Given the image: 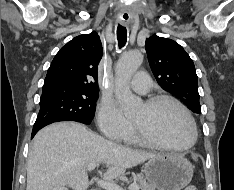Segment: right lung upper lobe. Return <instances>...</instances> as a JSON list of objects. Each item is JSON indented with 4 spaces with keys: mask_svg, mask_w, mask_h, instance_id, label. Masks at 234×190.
<instances>
[{
    "mask_svg": "<svg viewBox=\"0 0 234 190\" xmlns=\"http://www.w3.org/2000/svg\"><path fill=\"white\" fill-rule=\"evenodd\" d=\"M102 53L100 37L96 32L73 38L55 55L43 87L98 90L97 65Z\"/></svg>",
    "mask_w": 234,
    "mask_h": 190,
    "instance_id": "1",
    "label": "right lung upper lobe"
}]
</instances>
